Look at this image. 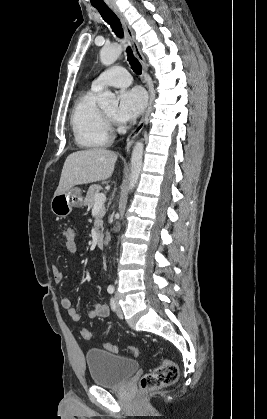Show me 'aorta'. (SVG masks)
<instances>
[{
	"label": "aorta",
	"mask_w": 267,
	"mask_h": 419,
	"mask_svg": "<svg viewBox=\"0 0 267 419\" xmlns=\"http://www.w3.org/2000/svg\"><path fill=\"white\" fill-rule=\"evenodd\" d=\"M121 52L122 48L120 45L114 44L111 46H105L100 51V60L103 65L110 66L117 60ZM98 105L101 108H115L118 106V100L111 91L107 90L101 95L98 100ZM143 150V142L141 140L136 142L131 155V167L128 184L129 190H133L138 182L142 168Z\"/></svg>",
	"instance_id": "obj_1"
}]
</instances>
